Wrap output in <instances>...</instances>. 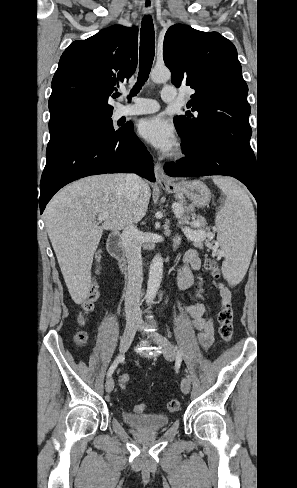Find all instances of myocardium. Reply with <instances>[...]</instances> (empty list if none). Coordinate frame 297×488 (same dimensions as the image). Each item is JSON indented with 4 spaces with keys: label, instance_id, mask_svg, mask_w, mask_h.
Segmentation results:
<instances>
[{
    "label": "myocardium",
    "instance_id": "obj_1",
    "mask_svg": "<svg viewBox=\"0 0 297 488\" xmlns=\"http://www.w3.org/2000/svg\"><path fill=\"white\" fill-rule=\"evenodd\" d=\"M182 155H183V152H182V150H181V149H179V150H177V151L174 153L173 157H174L175 159H179V158H181V157H182Z\"/></svg>",
    "mask_w": 297,
    "mask_h": 488
}]
</instances>
